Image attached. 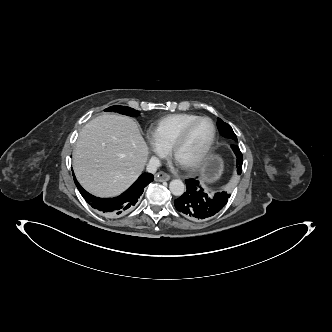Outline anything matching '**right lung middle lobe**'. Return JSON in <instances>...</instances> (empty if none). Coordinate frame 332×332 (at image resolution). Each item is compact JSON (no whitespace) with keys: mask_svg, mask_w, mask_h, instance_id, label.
Masks as SVG:
<instances>
[{"mask_svg":"<svg viewBox=\"0 0 332 332\" xmlns=\"http://www.w3.org/2000/svg\"><path fill=\"white\" fill-rule=\"evenodd\" d=\"M105 111H114L128 116H139V111L127 106H111L105 109Z\"/></svg>","mask_w":332,"mask_h":332,"instance_id":"dd1d6c3e","label":"right lung middle lobe"}]
</instances>
